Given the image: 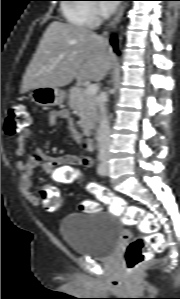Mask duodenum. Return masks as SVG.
I'll return each instance as SVG.
<instances>
[{
  "label": "duodenum",
  "instance_id": "duodenum-1",
  "mask_svg": "<svg viewBox=\"0 0 180 299\" xmlns=\"http://www.w3.org/2000/svg\"><path fill=\"white\" fill-rule=\"evenodd\" d=\"M83 129H84L85 134L92 135L93 126L90 123H88V122L84 123L83 124Z\"/></svg>",
  "mask_w": 180,
  "mask_h": 299
}]
</instances>
